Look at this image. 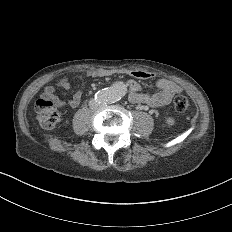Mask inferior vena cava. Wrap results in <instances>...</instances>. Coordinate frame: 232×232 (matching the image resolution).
I'll use <instances>...</instances> for the list:
<instances>
[{"mask_svg": "<svg viewBox=\"0 0 232 232\" xmlns=\"http://www.w3.org/2000/svg\"><path fill=\"white\" fill-rule=\"evenodd\" d=\"M88 106L90 109L95 110L98 108L99 105L95 104L93 99L89 101Z\"/></svg>", "mask_w": 232, "mask_h": 232, "instance_id": "obj_1", "label": "inferior vena cava"}]
</instances>
